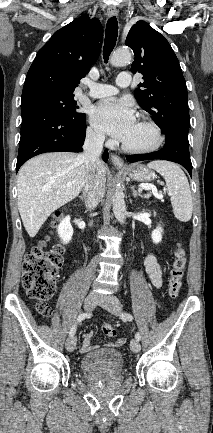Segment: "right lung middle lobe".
Masks as SVG:
<instances>
[{"label":"right lung middle lobe","mask_w":213,"mask_h":433,"mask_svg":"<svg viewBox=\"0 0 213 433\" xmlns=\"http://www.w3.org/2000/svg\"><path fill=\"white\" fill-rule=\"evenodd\" d=\"M21 104H36L54 110L64 118L79 123L84 121L86 115L77 111L74 95H63L52 92H36L21 97Z\"/></svg>","instance_id":"right-lung-middle-lobe-1"}]
</instances>
